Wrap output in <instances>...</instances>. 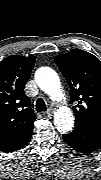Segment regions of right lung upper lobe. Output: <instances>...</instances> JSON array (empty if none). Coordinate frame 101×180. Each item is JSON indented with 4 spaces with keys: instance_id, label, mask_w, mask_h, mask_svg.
<instances>
[{
    "instance_id": "1",
    "label": "right lung upper lobe",
    "mask_w": 101,
    "mask_h": 180,
    "mask_svg": "<svg viewBox=\"0 0 101 180\" xmlns=\"http://www.w3.org/2000/svg\"><path fill=\"white\" fill-rule=\"evenodd\" d=\"M36 57L11 55L0 62V149L13 152L32 134L35 114L24 87Z\"/></svg>"
}]
</instances>
